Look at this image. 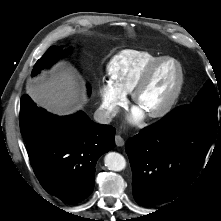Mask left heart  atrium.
Listing matches in <instances>:
<instances>
[{
  "label": "left heart atrium",
  "instance_id": "1",
  "mask_svg": "<svg viewBox=\"0 0 221 221\" xmlns=\"http://www.w3.org/2000/svg\"><path fill=\"white\" fill-rule=\"evenodd\" d=\"M144 115V112L140 109V108H136L131 116V119L133 121H138L139 119H141Z\"/></svg>",
  "mask_w": 221,
  "mask_h": 221
}]
</instances>
